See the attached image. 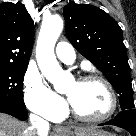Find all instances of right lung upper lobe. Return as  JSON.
Listing matches in <instances>:
<instances>
[{
    "label": "right lung upper lobe",
    "instance_id": "cb5924a9",
    "mask_svg": "<svg viewBox=\"0 0 136 136\" xmlns=\"http://www.w3.org/2000/svg\"><path fill=\"white\" fill-rule=\"evenodd\" d=\"M34 23L21 3L0 4V65H28Z\"/></svg>",
    "mask_w": 136,
    "mask_h": 136
}]
</instances>
